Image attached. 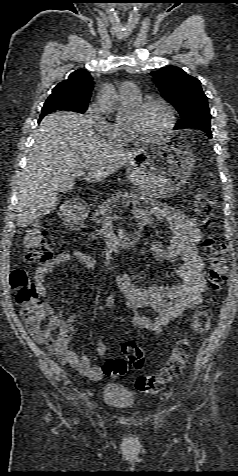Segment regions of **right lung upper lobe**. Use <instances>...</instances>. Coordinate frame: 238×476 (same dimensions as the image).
Listing matches in <instances>:
<instances>
[{
  "instance_id": "1",
  "label": "right lung upper lobe",
  "mask_w": 238,
  "mask_h": 476,
  "mask_svg": "<svg viewBox=\"0 0 238 476\" xmlns=\"http://www.w3.org/2000/svg\"><path fill=\"white\" fill-rule=\"evenodd\" d=\"M93 87L90 73L85 69H78L54 87L50 96L60 94L73 104L88 106Z\"/></svg>"
}]
</instances>
